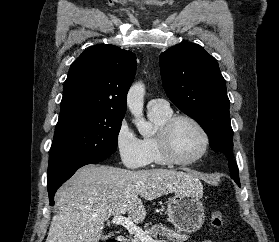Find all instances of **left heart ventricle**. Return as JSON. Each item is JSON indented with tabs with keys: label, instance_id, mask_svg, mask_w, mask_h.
<instances>
[{
	"label": "left heart ventricle",
	"instance_id": "left-heart-ventricle-1",
	"mask_svg": "<svg viewBox=\"0 0 279 242\" xmlns=\"http://www.w3.org/2000/svg\"><path fill=\"white\" fill-rule=\"evenodd\" d=\"M172 148L176 156L188 160L200 153L203 139L198 129L187 121L175 124L171 135Z\"/></svg>",
	"mask_w": 279,
	"mask_h": 242
}]
</instances>
